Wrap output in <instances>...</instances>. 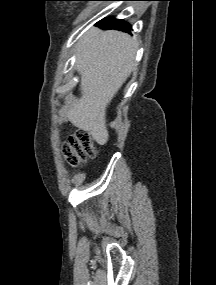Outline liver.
I'll use <instances>...</instances> for the list:
<instances>
[{
	"mask_svg": "<svg viewBox=\"0 0 216 285\" xmlns=\"http://www.w3.org/2000/svg\"><path fill=\"white\" fill-rule=\"evenodd\" d=\"M136 42L119 31L92 28L80 40L76 69L81 98L66 113L71 123L106 144V108L135 65Z\"/></svg>",
	"mask_w": 216,
	"mask_h": 285,
	"instance_id": "1",
	"label": "liver"
}]
</instances>
